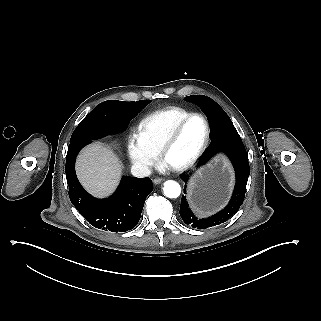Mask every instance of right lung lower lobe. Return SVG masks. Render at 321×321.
<instances>
[{"label": "right lung lower lobe", "mask_w": 321, "mask_h": 321, "mask_svg": "<svg viewBox=\"0 0 321 321\" xmlns=\"http://www.w3.org/2000/svg\"><path fill=\"white\" fill-rule=\"evenodd\" d=\"M141 110L132 102L105 101L96 107V114L106 125L108 134H114L124 131ZM91 141L78 140L68 146L65 173L70 200L80 214L98 229L111 232L131 230L139 222L145 199L152 191V180L125 176L111 197L102 200L92 197L80 185L75 173L77 154Z\"/></svg>", "instance_id": "1"}]
</instances>
